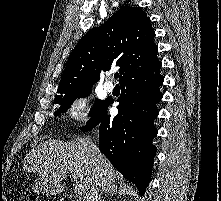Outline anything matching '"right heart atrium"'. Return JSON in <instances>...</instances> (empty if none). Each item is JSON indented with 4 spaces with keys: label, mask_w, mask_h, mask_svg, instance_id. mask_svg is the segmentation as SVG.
I'll list each match as a JSON object with an SVG mask.
<instances>
[{
    "label": "right heart atrium",
    "mask_w": 221,
    "mask_h": 201,
    "mask_svg": "<svg viewBox=\"0 0 221 201\" xmlns=\"http://www.w3.org/2000/svg\"><path fill=\"white\" fill-rule=\"evenodd\" d=\"M68 117L74 122H85L89 119V103L85 97L73 99L67 108Z\"/></svg>",
    "instance_id": "obj_1"
}]
</instances>
